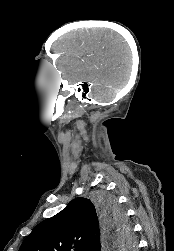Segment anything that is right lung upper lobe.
Here are the masks:
<instances>
[{"instance_id":"obj_1","label":"right lung upper lobe","mask_w":174,"mask_h":251,"mask_svg":"<svg viewBox=\"0 0 174 251\" xmlns=\"http://www.w3.org/2000/svg\"><path fill=\"white\" fill-rule=\"evenodd\" d=\"M103 225L96 205L79 197L39 223L24 239L19 251H101Z\"/></svg>"}]
</instances>
